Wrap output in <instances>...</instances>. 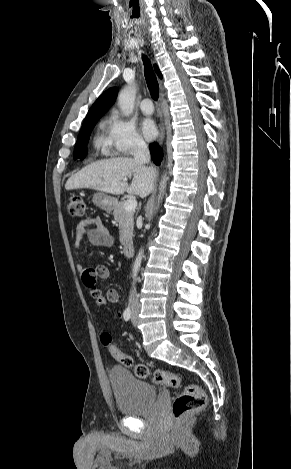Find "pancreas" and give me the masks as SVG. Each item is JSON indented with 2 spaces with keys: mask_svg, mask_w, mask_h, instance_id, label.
I'll return each instance as SVG.
<instances>
[{
  "mask_svg": "<svg viewBox=\"0 0 291 469\" xmlns=\"http://www.w3.org/2000/svg\"><path fill=\"white\" fill-rule=\"evenodd\" d=\"M115 220L119 223V238L123 245L132 243L134 229V211L125 210V201L118 202L113 209Z\"/></svg>",
  "mask_w": 291,
  "mask_h": 469,
  "instance_id": "1",
  "label": "pancreas"
}]
</instances>
